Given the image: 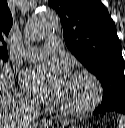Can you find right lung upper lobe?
Listing matches in <instances>:
<instances>
[{"instance_id": "1", "label": "right lung upper lobe", "mask_w": 125, "mask_h": 128, "mask_svg": "<svg viewBox=\"0 0 125 128\" xmlns=\"http://www.w3.org/2000/svg\"><path fill=\"white\" fill-rule=\"evenodd\" d=\"M13 20L8 8L7 0H0V59L8 60L5 38L12 27Z\"/></svg>"}]
</instances>
